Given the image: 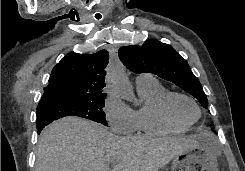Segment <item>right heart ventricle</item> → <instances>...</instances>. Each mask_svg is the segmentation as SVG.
<instances>
[{"mask_svg": "<svg viewBox=\"0 0 245 171\" xmlns=\"http://www.w3.org/2000/svg\"><path fill=\"white\" fill-rule=\"evenodd\" d=\"M137 91L141 105L134 111L136 131L148 135H164L186 130L187 127L173 124L164 117L161 102L169 90L159 81L152 78L137 83Z\"/></svg>", "mask_w": 245, "mask_h": 171, "instance_id": "1", "label": "right heart ventricle"}]
</instances>
